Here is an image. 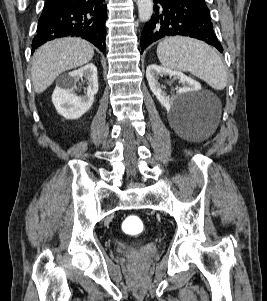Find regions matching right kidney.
Returning <instances> with one entry per match:
<instances>
[{
  "instance_id": "obj_1",
  "label": "right kidney",
  "mask_w": 267,
  "mask_h": 301,
  "mask_svg": "<svg viewBox=\"0 0 267 301\" xmlns=\"http://www.w3.org/2000/svg\"><path fill=\"white\" fill-rule=\"evenodd\" d=\"M82 78H85L88 82L86 95L77 96L74 89L76 83ZM97 92V68L93 63H90L68 74V79L55 88L52 102L57 112L64 118L78 119L91 108L94 95Z\"/></svg>"
}]
</instances>
